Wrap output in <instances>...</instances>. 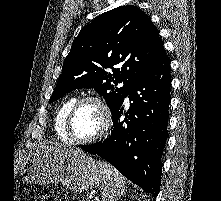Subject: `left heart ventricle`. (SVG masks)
Wrapping results in <instances>:
<instances>
[{"instance_id": "left-heart-ventricle-1", "label": "left heart ventricle", "mask_w": 221, "mask_h": 201, "mask_svg": "<svg viewBox=\"0 0 221 201\" xmlns=\"http://www.w3.org/2000/svg\"><path fill=\"white\" fill-rule=\"evenodd\" d=\"M102 127V114L93 102H86L77 110L72 132L77 139H88L96 135Z\"/></svg>"}]
</instances>
